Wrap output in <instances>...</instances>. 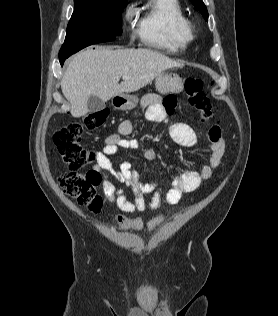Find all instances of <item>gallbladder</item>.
I'll return each mask as SVG.
<instances>
[{"label": "gallbladder", "mask_w": 278, "mask_h": 316, "mask_svg": "<svg viewBox=\"0 0 278 316\" xmlns=\"http://www.w3.org/2000/svg\"><path fill=\"white\" fill-rule=\"evenodd\" d=\"M89 113H95L105 108V102L95 95H90L87 102Z\"/></svg>", "instance_id": "obj_1"}]
</instances>
